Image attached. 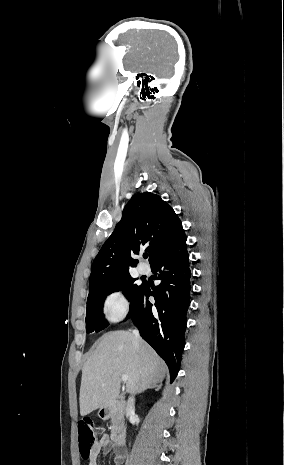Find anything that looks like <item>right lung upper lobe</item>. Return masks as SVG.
Segmentation results:
<instances>
[{
	"label": "right lung upper lobe",
	"mask_w": 284,
	"mask_h": 465,
	"mask_svg": "<svg viewBox=\"0 0 284 465\" xmlns=\"http://www.w3.org/2000/svg\"><path fill=\"white\" fill-rule=\"evenodd\" d=\"M185 238L181 220L159 195L150 192L133 195L121 221L93 261L89 292L130 276L129 269L137 264L131 255L144 250L153 264Z\"/></svg>",
	"instance_id": "cb5924a9"
}]
</instances>
